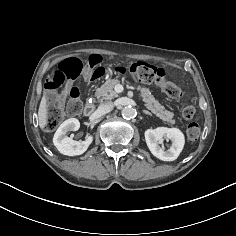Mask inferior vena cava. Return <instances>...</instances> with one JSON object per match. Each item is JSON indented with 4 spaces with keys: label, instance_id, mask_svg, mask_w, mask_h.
I'll list each match as a JSON object with an SVG mask.
<instances>
[{
    "label": "inferior vena cava",
    "instance_id": "inferior-vena-cava-1",
    "mask_svg": "<svg viewBox=\"0 0 236 236\" xmlns=\"http://www.w3.org/2000/svg\"><path fill=\"white\" fill-rule=\"evenodd\" d=\"M114 108V104L111 101L103 102L99 105L98 111L102 114L109 113Z\"/></svg>",
    "mask_w": 236,
    "mask_h": 236
}]
</instances>
